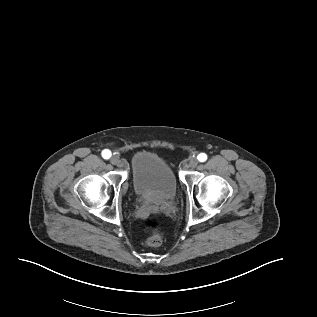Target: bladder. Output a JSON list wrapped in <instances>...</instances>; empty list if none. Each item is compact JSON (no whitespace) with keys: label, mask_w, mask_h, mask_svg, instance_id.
Returning a JSON list of instances; mask_svg holds the SVG:
<instances>
[{"label":"bladder","mask_w":317,"mask_h":317,"mask_svg":"<svg viewBox=\"0 0 317 317\" xmlns=\"http://www.w3.org/2000/svg\"><path fill=\"white\" fill-rule=\"evenodd\" d=\"M131 182L138 199L146 204H163L177 192V179L170 165L161 157L136 153L131 162Z\"/></svg>","instance_id":"obj_1"}]
</instances>
